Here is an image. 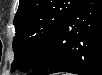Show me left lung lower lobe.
Segmentation results:
<instances>
[{"instance_id": "1", "label": "left lung lower lobe", "mask_w": 102, "mask_h": 75, "mask_svg": "<svg viewBox=\"0 0 102 75\" xmlns=\"http://www.w3.org/2000/svg\"><path fill=\"white\" fill-rule=\"evenodd\" d=\"M102 75V1L82 0L52 33L29 75Z\"/></svg>"}]
</instances>
